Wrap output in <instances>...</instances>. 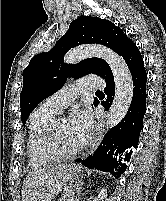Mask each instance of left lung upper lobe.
I'll return each instance as SVG.
<instances>
[{
  "mask_svg": "<svg viewBox=\"0 0 166 201\" xmlns=\"http://www.w3.org/2000/svg\"><path fill=\"white\" fill-rule=\"evenodd\" d=\"M99 43L124 57L133 44L119 27L109 20L81 16L71 22L68 31L48 52L35 55L23 71L20 93L21 120L25 124L31 111L45 98L58 91L68 77L80 78L93 73L103 79L112 74L109 65L100 58H90L78 64H64V54L73 47ZM98 100L94 101L96 106Z\"/></svg>",
  "mask_w": 166,
  "mask_h": 201,
  "instance_id": "1",
  "label": "left lung upper lobe"
}]
</instances>
